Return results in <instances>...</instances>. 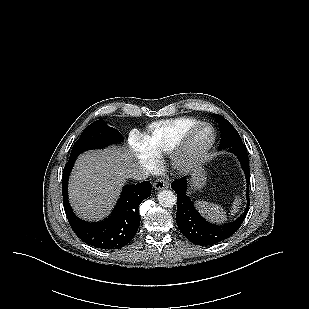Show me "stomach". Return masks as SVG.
Here are the masks:
<instances>
[{
  "mask_svg": "<svg viewBox=\"0 0 309 309\" xmlns=\"http://www.w3.org/2000/svg\"><path fill=\"white\" fill-rule=\"evenodd\" d=\"M207 177L203 166L199 163L193 165L190 188L193 191L201 190L206 185Z\"/></svg>",
  "mask_w": 309,
  "mask_h": 309,
  "instance_id": "obj_1",
  "label": "stomach"
}]
</instances>
